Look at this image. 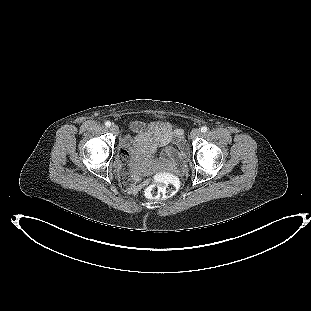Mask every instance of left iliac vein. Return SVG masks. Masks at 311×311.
Wrapping results in <instances>:
<instances>
[{"mask_svg":"<svg viewBox=\"0 0 311 311\" xmlns=\"http://www.w3.org/2000/svg\"><path fill=\"white\" fill-rule=\"evenodd\" d=\"M200 134H201V131H200V129H198V128H195V129H193V130L191 131V137H192V138H197V137L200 136Z\"/></svg>","mask_w":311,"mask_h":311,"instance_id":"1","label":"left iliac vein"}]
</instances>
